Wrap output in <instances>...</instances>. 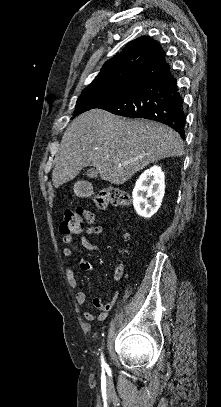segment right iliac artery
<instances>
[{
	"mask_svg": "<svg viewBox=\"0 0 221 407\" xmlns=\"http://www.w3.org/2000/svg\"><path fill=\"white\" fill-rule=\"evenodd\" d=\"M101 365L102 366H105L106 365V363H105V361H104V359H103V356L101 355Z\"/></svg>",
	"mask_w": 221,
	"mask_h": 407,
	"instance_id": "1",
	"label": "right iliac artery"
}]
</instances>
